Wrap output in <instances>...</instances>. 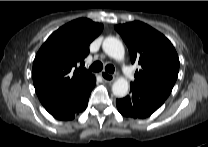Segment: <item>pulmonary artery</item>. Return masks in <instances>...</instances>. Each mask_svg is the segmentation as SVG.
Masks as SVG:
<instances>
[{
  "mask_svg": "<svg viewBox=\"0 0 208 147\" xmlns=\"http://www.w3.org/2000/svg\"><path fill=\"white\" fill-rule=\"evenodd\" d=\"M123 71H124V74H125L127 77H131V72H130L129 68L124 67V68H123Z\"/></svg>",
  "mask_w": 208,
  "mask_h": 147,
  "instance_id": "obj_1",
  "label": "pulmonary artery"
}]
</instances>
